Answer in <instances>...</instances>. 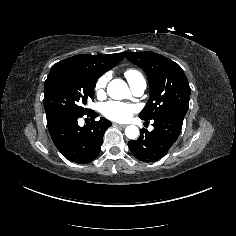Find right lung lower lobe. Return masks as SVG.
Returning <instances> with one entry per match:
<instances>
[{
    "label": "right lung lower lobe",
    "instance_id": "1",
    "mask_svg": "<svg viewBox=\"0 0 236 236\" xmlns=\"http://www.w3.org/2000/svg\"><path fill=\"white\" fill-rule=\"evenodd\" d=\"M90 117L91 123L80 127L82 116L61 115L47 120L50 136L59 152L69 161L84 164L94 160L103 143V135L112 125L105 118L95 121L98 114L91 110L83 115Z\"/></svg>",
    "mask_w": 236,
    "mask_h": 236
}]
</instances>
